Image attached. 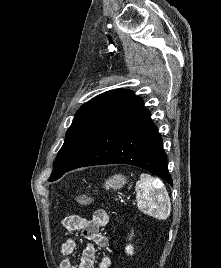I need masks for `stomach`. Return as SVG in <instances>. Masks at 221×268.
I'll list each match as a JSON object with an SVG mask.
<instances>
[{"label":"stomach","instance_id":"0dacf381","mask_svg":"<svg viewBox=\"0 0 221 268\" xmlns=\"http://www.w3.org/2000/svg\"><path fill=\"white\" fill-rule=\"evenodd\" d=\"M127 182V179L122 174H116L105 181V188L106 189H120L122 188Z\"/></svg>","mask_w":221,"mask_h":268}]
</instances>
